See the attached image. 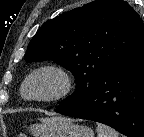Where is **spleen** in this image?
Returning <instances> with one entry per match:
<instances>
[{"label": "spleen", "mask_w": 144, "mask_h": 137, "mask_svg": "<svg viewBox=\"0 0 144 137\" xmlns=\"http://www.w3.org/2000/svg\"><path fill=\"white\" fill-rule=\"evenodd\" d=\"M97 137H118V133L105 124H97Z\"/></svg>", "instance_id": "1"}]
</instances>
